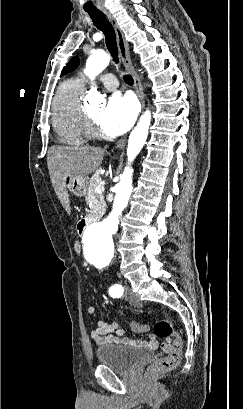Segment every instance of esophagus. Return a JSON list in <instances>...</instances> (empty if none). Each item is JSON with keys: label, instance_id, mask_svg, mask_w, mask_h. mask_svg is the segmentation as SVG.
Returning <instances> with one entry per match:
<instances>
[{"label": "esophagus", "instance_id": "esophagus-1", "mask_svg": "<svg viewBox=\"0 0 243 409\" xmlns=\"http://www.w3.org/2000/svg\"><path fill=\"white\" fill-rule=\"evenodd\" d=\"M102 12L105 14V16L107 17V19L109 20V22L111 23V25L113 26L115 30L117 44H118V48H119V52H120V56H121L123 65L125 66L126 70L132 75L134 79L135 91L140 100L141 107L143 109L144 108L143 87H142L140 78L132 64L128 43L125 40L122 30L120 29L119 25L117 24V22L115 21L111 13L107 9H103ZM125 145H126V138H122L117 142L116 147L119 149H122L124 148Z\"/></svg>", "mask_w": 243, "mask_h": 409}]
</instances>
